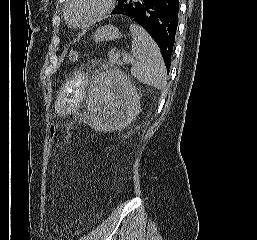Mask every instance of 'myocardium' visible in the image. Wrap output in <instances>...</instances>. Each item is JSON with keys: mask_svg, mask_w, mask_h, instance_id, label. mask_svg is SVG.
Listing matches in <instances>:
<instances>
[{"mask_svg": "<svg viewBox=\"0 0 257 240\" xmlns=\"http://www.w3.org/2000/svg\"><path fill=\"white\" fill-rule=\"evenodd\" d=\"M72 1L73 0H66V3L64 5V16L67 20V23L71 27L77 28V29H83V28L89 27L94 23L98 22L99 20H101L107 13L110 12L114 4V0H105L103 7L93 17H91L90 19H88L87 21L81 24H76L71 21L69 16V6Z\"/></svg>", "mask_w": 257, "mask_h": 240, "instance_id": "f54148a6", "label": "myocardium"}]
</instances>
